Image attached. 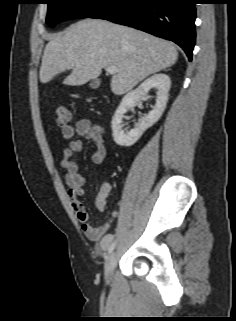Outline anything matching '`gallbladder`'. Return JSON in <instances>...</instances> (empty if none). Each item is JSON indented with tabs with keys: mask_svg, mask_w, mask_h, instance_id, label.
Returning <instances> with one entry per match:
<instances>
[{
	"mask_svg": "<svg viewBox=\"0 0 236 321\" xmlns=\"http://www.w3.org/2000/svg\"><path fill=\"white\" fill-rule=\"evenodd\" d=\"M99 86V80L95 79L91 82L90 87L96 89Z\"/></svg>",
	"mask_w": 236,
	"mask_h": 321,
	"instance_id": "1",
	"label": "gallbladder"
}]
</instances>
